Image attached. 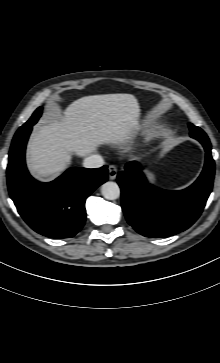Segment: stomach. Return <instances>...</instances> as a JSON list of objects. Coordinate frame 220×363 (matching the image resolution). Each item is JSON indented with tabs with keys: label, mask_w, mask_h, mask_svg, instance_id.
I'll use <instances>...</instances> for the list:
<instances>
[{
	"label": "stomach",
	"mask_w": 220,
	"mask_h": 363,
	"mask_svg": "<svg viewBox=\"0 0 220 363\" xmlns=\"http://www.w3.org/2000/svg\"><path fill=\"white\" fill-rule=\"evenodd\" d=\"M145 174H146V176H147V178H148V180L150 182H154L155 178H154V175L151 172L146 171Z\"/></svg>",
	"instance_id": "obj_1"
}]
</instances>
